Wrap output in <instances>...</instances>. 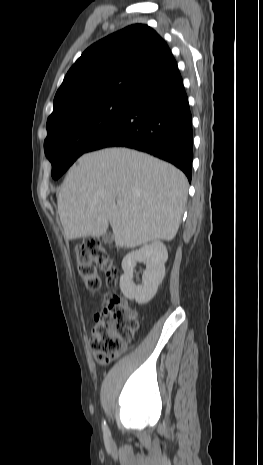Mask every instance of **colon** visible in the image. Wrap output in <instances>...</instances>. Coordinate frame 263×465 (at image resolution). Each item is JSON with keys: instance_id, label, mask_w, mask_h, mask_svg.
Masks as SVG:
<instances>
[{"instance_id": "5ec220e1", "label": "colon", "mask_w": 263, "mask_h": 465, "mask_svg": "<svg viewBox=\"0 0 263 465\" xmlns=\"http://www.w3.org/2000/svg\"><path fill=\"white\" fill-rule=\"evenodd\" d=\"M75 254L78 273L90 292L101 289L99 271L105 275L106 286L117 284L116 266L99 239L87 238L76 247ZM137 330L136 313L127 302L119 295H107L91 330L90 345L96 361L105 365L115 359L133 340Z\"/></svg>"}]
</instances>
